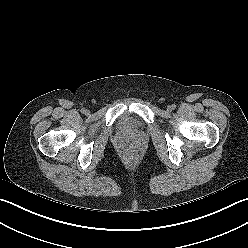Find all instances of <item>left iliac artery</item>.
Returning a JSON list of instances; mask_svg holds the SVG:
<instances>
[{"instance_id": "left-iliac-artery-1", "label": "left iliac artery", "mask_w": 248, "mask_h": 248, "mask_svg": "<svg viewBox=\"0 0 248 248\" xmlns=\"http://www.w3.org/2000/svg\"><path fill=\"white\" fill-rule=\"evenodd\" d=\"M171 107H172V110H174L176 108V105L172 104Z\"/></svg>"}]
</instances>
